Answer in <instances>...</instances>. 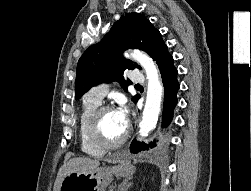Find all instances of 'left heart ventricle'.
Returning a JSON list of instances; mask_svg holds the SVG:
<instances>
[{
    "label": "left heart ventricle",
    "mask_w": 251,
    "mask_h": 191,
    "mask_svg": "<svg viewBox=\"0 0 251 191\" xmlns=\"http://www.w3.org/2000/svg\"><path fill=\"white\" fill-rule=\"evenodd\" d=\"M101 130L106 140L116 141L122 136L125 127L119 124L112 111H107L102 117Z\"/></svg>",
    "instance_id": "obj_1"
}]
</instances>
